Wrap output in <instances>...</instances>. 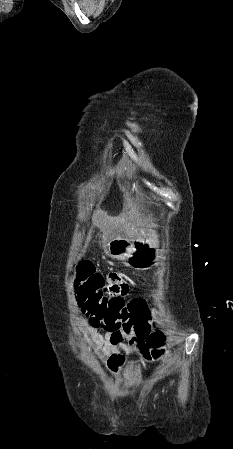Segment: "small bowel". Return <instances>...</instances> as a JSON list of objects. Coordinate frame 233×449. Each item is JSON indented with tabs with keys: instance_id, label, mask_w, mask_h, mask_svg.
Instances as JSON below:
<instances>
[{
	"instance_id": "small-bowel-1",
	"label": "small bowel",
	"mask_w": 233,
	"mask_h": 449,
	"mask_svg": "<svg viewBox=\"0 0 233 449\" xmlns=\"http://www.w3.org/2000/svg\"><path fill=\"white\" fill-rule=\"evenodd\" d=\"M106 277L108 280L102 287V290L108 295L106 299L113 302L114 296H121L123 301H126V296L134 285V280L127 278L125 274H121L120 270H107ZM155 317L161 318L159 314L151 311L150 319ZM79 325L84 334L87 348L106 363L107 370L113 374L123 368L128 357L134 354L144 364L159 359V354L153 352L151 348H138V334H123L122 328H93L89 315L79 319ZM149 335L151 336L152 333ZM126 339L129 340L128 343L125 342Z\"/></svg>"
}]
</instances>
